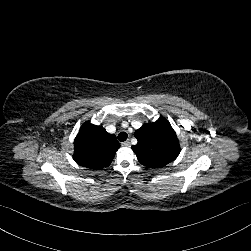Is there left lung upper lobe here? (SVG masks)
<instances>
[{
  "mask_svg": "<svg viewBox=\"0 0 251 251\" xmlns=\"http://www.w3.org/2000/svg\"><path fill=\"white\" fill-rule=\"evenodd\" d=\"M134 136L138 143L132 146V150L139 162L148 168L164 167L180 153L176 133L164 117L156 122L143 124Z\"/></svg>",
  "mask_w": 251,
  "mask_h": 251,
  "instance_id": "left-lung-upper-lobe-1",
  "label": "left lung upper lobe"
}]
</instances>
